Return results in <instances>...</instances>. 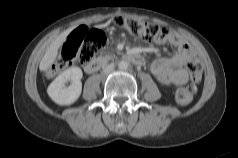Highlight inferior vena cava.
<instances>
[{"label":"inferior vena cava","mask_w":238,"mask_h":158,"mask_svg":"<svg viewBox=\"0 0 238 158\" xmlns=\"http://www.w3.org/2000/svg\"><path fill=\"white\" fill-rule=\"evenodd\" d=\"M114 69V64H109L104 67V72H111Z\"/></svg>","instance_id":"inferior-vena-cava-1"}]
</instances>
